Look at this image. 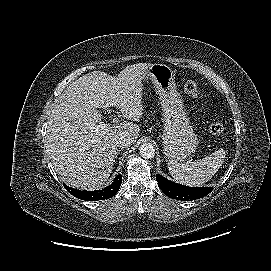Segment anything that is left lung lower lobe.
Returning a JSON list of instances; mask_svg holds the SVG:
<instances>
[{
	"instance_id": "obj_1",
	"label": "left lung lower lobe",
	"mask_w": 271,
	"mask_h": 271,
	"mask_svg": "<svg viewBox=\"0 0 271 271\" xmlns=\"http://www.w3.org/2000/svg\"><path fill=\"white\" fill-rule=\"evenodd\" d=\"M156 179L160 189L170 198L178 200H195L202 198L212 191V187H188L171 182L157 174Z\"/></svg>"
}]
</instances>
